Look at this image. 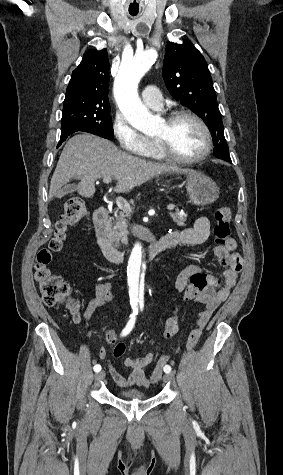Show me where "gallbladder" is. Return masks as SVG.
Returning <instances> with one entry per match:
<instances>
[{
  "label": "gallbladder",
  "mask_w": 283,
  "mask_h": 475,
  "mask_svg": "<svg viewBox=\"0 0 283 475\" xmlns=\"http://www.w3.org/2000/svg\"><path fill=\"white\" fill-rule=\"evenodd\" d=\"M71 192H76L75 184H66L64 188H61L59 192H57V198H63L66 194H71Z\"/></svg>",
  "instance_id": "1"
}]
</instances>
